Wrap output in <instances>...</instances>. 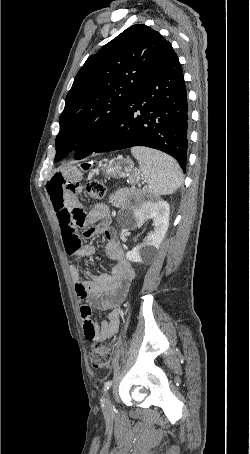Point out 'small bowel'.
<instances>
[{
    "instance_id": "obj_1",
    "label": "small bowel",
    "mask_w": 250,
    "mask_h": 454,
    "mask_svg": "<svg viewBox=\"0 0 250 454\" xmlns=\"http://www.w3.org/2000/svg\"><path fill=\"white\" fill-rule=\"evenodd\" d=\"M47 191L58 219L67 254L90 257L95 253L94 246L81 242L77 228L84 229L85 238L96 234H103L106 238L105 252L113 263L109 273L95 275L86 270L84 280L75 265L70 266V273L80 301L84 337L97 342L109 340L118 330V307L134 278L133 268L125 259L124 250L110 225L109 209L104 204H98L87 212L78 200V195L82 191L81 182L72 176L54 175L47 183ZM92 308L104 310L107 320L94 322L91 318Z\"/></svg>"
}]
</instances>
